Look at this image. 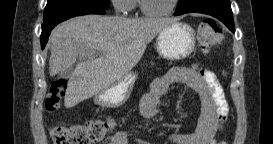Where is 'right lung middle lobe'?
I'll return each instance as SVG.
<instances>
[{"instance_id": "dd1d6c3e", "label": "right lung middle lobe", "mask_w": 273, "mask_h": 144, "mask_svg": "<svg viewBox=\"0 0 273 144\" xmlns=\"http://www.w3.org/2000/svg\"><path fill=\"white\" fill-rule=\"evenodd\" d=\"M70 5H96L105 9H108L110 6L109 0H48L44 10L43 21L56 9Z\"/></svg>"}]
</instances>
